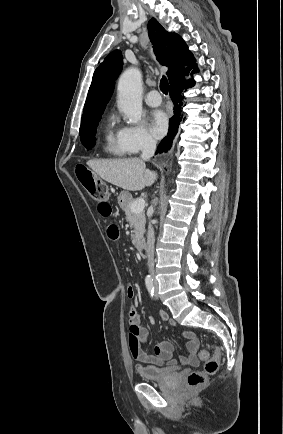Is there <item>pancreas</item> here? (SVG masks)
Masks as SVG:
<instances>
[{"instance_id":"cf45deb5","label":"pancreas","mask_w":283,"mask_h":434,"mask_svg":"<svg viewBox=\"0 0 283 434\" xmlns=\"http://www.w3.org/2000/svg\"><path fill=\"white\" fill-rule=\"evenodd\" d=\"M134 200H132L127 206L123 208L126 216V220L130 223V227L133 229V234L131 235L132 243L135 246L143 240L144 232H145V213L133 212L131 210V205Z\"/></svg>"}]
</instances>
